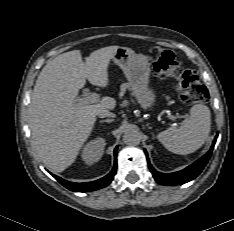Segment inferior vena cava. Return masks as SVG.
Wrapping results in <instances>:
<instances>
[{
    "label": "inferior vena cava",
    "instance_id": "obj_1",
    "mask_svg": "<svg viewBox=\"0 0 234 231\" xmlns=\"http://www.w3.org/2000/svg\"><path fill=\"white\" fill-rule=\"evenodd\" d=\"M98 116L100 118H105V117H115V114L108 111V110H104L98 113Z\"/></svg>",
    "mask_w": 234,
    "mask_h": 231
}]
</instances>
